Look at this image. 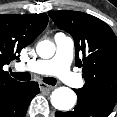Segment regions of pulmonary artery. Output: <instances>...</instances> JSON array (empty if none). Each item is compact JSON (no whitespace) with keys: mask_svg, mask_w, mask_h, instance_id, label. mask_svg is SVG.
Returning a JSON list of instances; mask_svg holds the SVG:
<instances>
[{"mask_svg":"<svg viewBox=\"0 0 117 117\" xmlns=\"http://www.w3.org/2000/svg\"><path fill=\"white\" fill-rule=\"evenodd\" d=\"M56 51L52 58L37 60L28 64H20L22 71L34 72L42 75H54L71 87H78L82 80L71 71V63L74 55V40L64 33L54 36Z\"/></svg>","mask_w":117,"mask_h":117,"instance_id":"1","label":"pulmonary artery"}]
</instances>
